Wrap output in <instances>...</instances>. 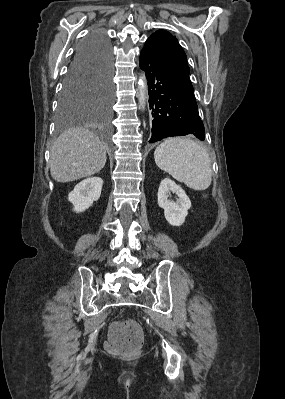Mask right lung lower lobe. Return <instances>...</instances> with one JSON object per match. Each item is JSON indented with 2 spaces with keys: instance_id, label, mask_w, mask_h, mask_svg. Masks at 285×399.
Here are the masks:
<instances>
[{
  "instance_id": "1",
  "label": "right lung lower lobe",
  "mask_w": 285,
  "mask_h": 399,
  "mask_svg": "<svg viewBox=\"0 0 285 399\" xmlns=\"http://www.w3.org/2000/svg\"><path fill=\"white\" fill-rule=\"evenodd\" d=\"M90 70H105L108 74L112 71L111 43L99 30H94L81 42L69 67V72Z\"/></svg>"
}]
</instances>
